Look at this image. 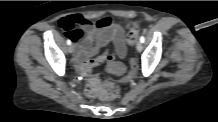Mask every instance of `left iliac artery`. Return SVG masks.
Returning a JSON list of instances; mask_svg holds the SVG:
<instances>
[{
  "instance_id": "44dca946",
  "label": "left iliac artery",
  "mask_w": 218,
  "mask_h": 122,
  "mask_svg": "<svg viewBox=\"0 0 218 122\" xmlns=\"http://www.w3.org/2000/svg\"><path fill=\"white\" fill-rule=\"evenodd\" d=\"M140 41H141V43H144V41H145V38H144V36H143V35L140 37Z\"/></svg>"
}]
</instances>
